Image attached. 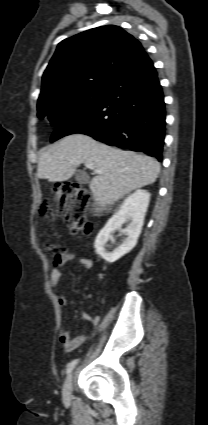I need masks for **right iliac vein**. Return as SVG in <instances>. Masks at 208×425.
<instances>
[{"label": "right iliac vein", "mask_w": 208, "mask_h": 425, "mask_svg": "<svg viewBox=\"0 0 208 425\" xmlns=\"http://www.w3.org/2000/svg\"><path fill=\"white\" fill-rule=\"evenodd\" d=\"M72 391H73V377H72V374H69L64 382L63 389H62L63 401L65 403H69L71 401Z\"/></svg>", "instance_id": "right-iliac-vein-1"}]
</instances>
